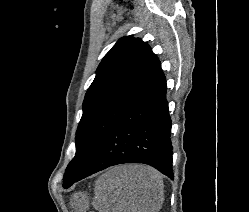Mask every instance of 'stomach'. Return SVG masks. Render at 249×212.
Segmentation results:
<instances>
[{
    "label": "stomach",
    "mask_w": 249,
    "mask_h": 212,
    "mask_svg": "<svg viewBox=\"0 0 249 212\" xmlns=\"http://www.w3.org/2000/svg\"><path fill=\"white\" fill-rule=\"evenodd\" d=\"M89 196L88 194H73L70 204L74 210H77V212H87L89 208Z\"/></svg>",
    "instance_id": "stomach-1"
}]
</instances>
